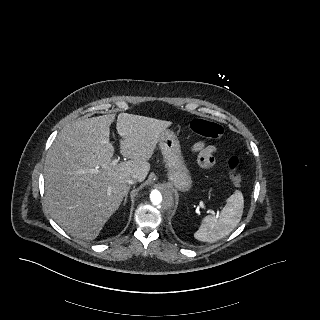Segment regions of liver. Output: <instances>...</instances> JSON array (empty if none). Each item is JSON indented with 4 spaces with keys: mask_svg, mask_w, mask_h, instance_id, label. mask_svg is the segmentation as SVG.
Wrapping results in <instances>:
<instances>
[{
    "mask_svg": "<svg viewBox=\"0 0 320 320\" xmlns=\"http://www.w3.org/2000/svg\"><path fill=\"white\" fill-rule=\"evenodd\" d=\"M114 120V114L75 120L60 131L46 156V206L57 224L76 238L93 240L99 235L128 193L126 179L146 178L159 137L172 124L120 113L116 122L120 152L130 160L112 165ZM95 167L99 171L92 173Z\"/></svg>",
    "mask_w": 320,
    "mask_h": 320,
    "instance_id": "obj_1",
    "label": "liver"
}]
</instances>
